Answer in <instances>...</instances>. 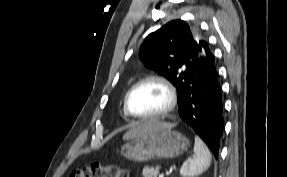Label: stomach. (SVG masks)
<instances>
[{"instance_id": "0dacf381", "label": "stomach", "mask_w": 287, "mask_h": 177, "mask_svg": "<svg viewBox=\"0 0 287 177\" xmlns=\"http://www.w3.org/2000/svg\"><path fill=\"white\" fill-rule=\"evenodd\" d=\"M189 145V139L180 132L162 129L128 139L121 154L137 162L171 159L187 151Z\"/></svg>"}]
</instances>
